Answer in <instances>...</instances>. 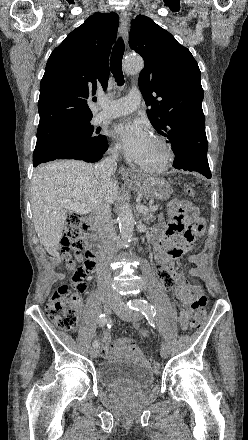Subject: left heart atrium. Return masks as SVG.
Returning a JSON list of instances; mask_svg holds the SVG:
<instances>
[{"instance_id":"left-heart-atrium-1","label":"left heart atrium","mask_w":248,"mask_h":440,"mask_svg":"<svg viewBox=\"0 0 248 440\" xmlns=\"http://www.w3.org/2000/svg\"><path fill=\"white\" fill-rule=\"evenodd\" d=\"M112 133L126 155L136 162L143 158L152 141L145 123L139 119L117 123Z\"/></svg>"}]
</instances>
